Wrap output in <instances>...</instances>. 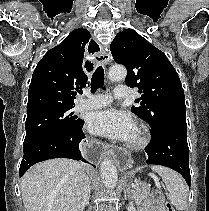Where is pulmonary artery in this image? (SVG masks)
<instances>
[{"label":"pulmonary artery","instance_id":"e3ab8cb5","mask_svg":"<svg viewBox=\"0 0 209 211\" xmlns=\"http://www.w3.org/2000/svg\"><path fill=\"white\" fill-rule=\"evenodd\" d=\"M130 90L126 85H118L114 88L113 95L107 93L101 94H86V97L82 98L76 105L75 109L78 112L100 109L108 106L113 98L126 99L129 97Z\"/></svg>","mask_w":209,"mask_h":211}]
</instances>
